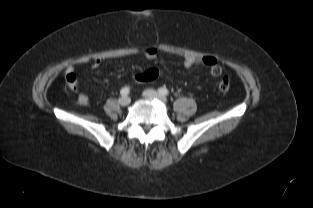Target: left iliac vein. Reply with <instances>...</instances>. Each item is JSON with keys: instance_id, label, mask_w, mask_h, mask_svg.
<instances>
[{"instance_id": "1", "label": "left iliac vein", "mask_w": 313, "mask_h": 208, "mask_svg": "<svg viewBox=\"0 0 313 208\" xmlns=\"http://www.w3.org/2000/svg\"><path fill=\"white\" fill-rule=\"evenodd\" d=\"M144 97H146L147 99H156L160 102L166 103L167 102V98L159 93H157L156 91L152 90V89H148L145 90L143 92Z\"/></svg>"}]
</instances>
